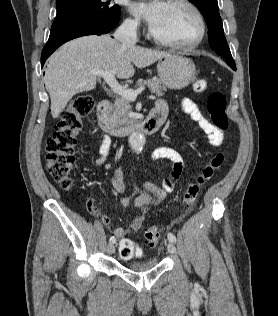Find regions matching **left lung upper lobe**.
Wrapping results in <instances>:
<instances>
[{
    "mask_svg": "<svg viewBox=\"0 0 278 316\" xmlns=\"http://www.w3.org/2000/svg\"><path fill=\"white\" fill-rule=\"evenodd\" d=\"M189 1L198 7L206 20L209 28L208 35L211 48L216 51L217 54L222 55L226 59L228 65L233 70H236L235 62L224 36L223 24L219 14L217 0Z\"/></svg>",
    "mask_w": 278,
    "mask_h": 316,
    "instance_id": "obj_1",
    "label": "left lung upper lobe"
}]
</instances>
